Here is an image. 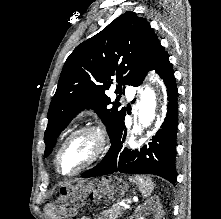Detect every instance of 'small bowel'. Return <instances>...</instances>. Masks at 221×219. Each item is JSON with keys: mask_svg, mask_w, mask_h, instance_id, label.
<instances>
[{"mask_svg": "<svg viewBox=\"0 0 221 219\" xmlns=\"http://www.w3.org/2000/svg\"><path fill=\"white\" fill-rule=\"evenodd\" d=\"M83 219H90V218H83ZM97 219H105V218H97Z\"/></svg>", "mask_w": 221, "mask_h": 219, "instance_id": "obj_1", "label": "small bowel"}]
</instances>
